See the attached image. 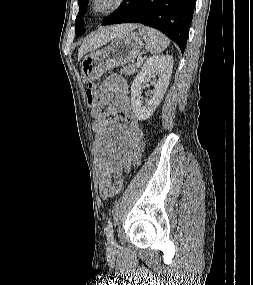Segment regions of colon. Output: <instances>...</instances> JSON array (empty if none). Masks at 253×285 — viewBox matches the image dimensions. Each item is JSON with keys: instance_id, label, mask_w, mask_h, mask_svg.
I'll list each match as a JSON object with an SVG mask.
<instances>
[{"instance_id": "obj_1", "label": "colon", "mask_w": 253, "mask_h": 285, "mask_svg": "<svg viewBox=\"0 0 253 285\" xmlns=\"http://www.w3.org/2000/svg\"><path fill=\"white\" fill-rule=\"evenodd\" d=\"M96 98H97V87L94 83L90 82L86 90V99L88 104L91 105ZM123 187H124L123 178H119L113 183V188L116 191V193L121 192Z\"/></svg>"}]
</instances>
